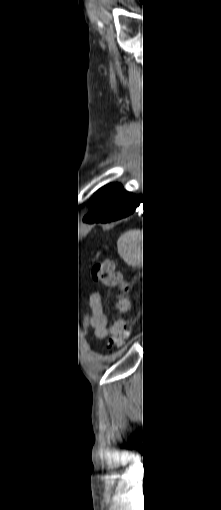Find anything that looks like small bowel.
Wrapping results in <instances>:
<instances>
[{"label": "small bowel", "instance_id": "c3829d8e", "mask_svg": "<svg viewBox=\"0 0 221 510\" xmlns=\"http://www.w3.org/2000/svg\"><path fill=\"white\" fill-rule=\"evenodd\" d=\"M90 307L93 311L91 317L88 318L87 327H91L99 338L106 337L108 333L107 318L103 313L101 297L99 294H92L90 297Z\"/></svg>", "mask_w": 221, "mask_h": 510}]
</instances>
